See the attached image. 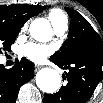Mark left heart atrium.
<instances>
[{
  "mask_svg": "<svg viewBox=\"0 0 103 103\" xmlns=\"http://www.w3.org/2000/svg\"><path fill=\"white\" fill-rule=\"evenodd\" d=\"M51 47L38 43H28L21 48V53L33 62H42L51 53Z\"/></svg>",
  "mask_w": 103,
  "mask_h": 103,
  "instance_id": "1",
  "label": "left heart atrium"
}]
</instances>
